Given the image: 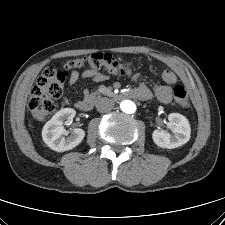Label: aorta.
<instances>
[{
    "label": "aorta",
    "mask_w": 225,
    "mask_h": 225,
    "mask_svg": "<svg viewBox=\"0 0 225 225\" xmlns=\"http://www.w3.org/2000/svg\"><path fill=\"white\" fill-rule=\"evenodd\" d=\"M120 108L127 114H132L136 111V105L133 101L124 100L120 103Z\"/></svg>",
    "instance_id": "obj_1"
}]
</instances>
